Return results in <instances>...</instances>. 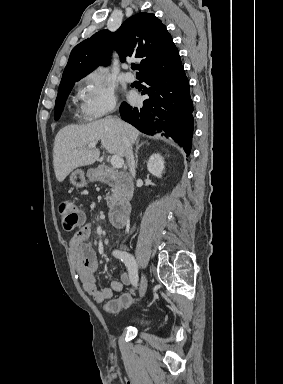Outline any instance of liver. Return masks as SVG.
Listing matches in <instances>:
<instances>
[{"mask_svg":"<svg viewBox=\"0 0 283 384\" xmlns=\"http://www.w3.org/2000/svg\"><path fill=\"white\" fill-rule=\"evenodd\" d=\"M140 132L125 124L122 120H96L85 126H65L58 132L54 142L53 166L58 182H63L66 176L79 168L91 166L100 156L99 150H87V144H101L108 154L125 156L123 136H127L131 144L137 142ZM78 150V152H74Z\"/></svg>","mask_w":283,"mask_h":384,"instance_id":"liver-1","label":"liver"}]
</instances>
